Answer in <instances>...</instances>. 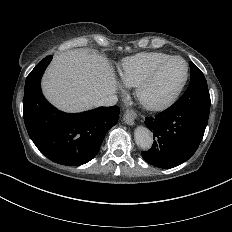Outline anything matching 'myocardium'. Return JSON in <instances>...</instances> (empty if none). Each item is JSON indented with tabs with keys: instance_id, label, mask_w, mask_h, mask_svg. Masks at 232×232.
<instances>
[{
	"instance_id": "f54148a6",
	"label": "myocardium",
	"mask_w": 232,
	"mask_h": 232,
	"mask_svg": "<svg viewBox=\"0 0 232 232\" xmlns=\"http://www.w3.org/2000/svg\"><path fill=\"white\" fill-rule=\"evenodd\" d=\"M182 61L186 66V74L185 77L180 84V86L164 101L161 103L155 104V105H147L142 103L141 101V94L143 89L146 87V85L159 73L160 70H162L166 65H168L172 61ZM190 76V67L189 63L182 57L179 56H171L168 59L164 60L163 62L157 64L155 67H153L136 85L135 91H134V97L138 103V105L150 112H162L167 110L169 107H171L179 98L180 94L184 90Z\"/></svg>"
}]
</instances>
